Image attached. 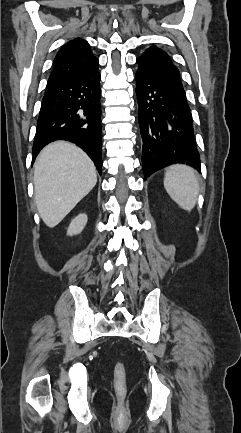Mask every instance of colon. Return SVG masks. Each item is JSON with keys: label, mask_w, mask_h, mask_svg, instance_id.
<instances>
[{"label": "colon", "mask_w": 241, "mask_h": 433, "mask_svg": "<svg viewBox=\"0 0 241 433\" xmlns=\"http://www.w3.org/2000/svg\"><path fill=\"white\" fill-rule=\"evenodd\" d=\"M114 387L118 394L126 391V370L123 362L118 361L114 368Z\"/></svg>", "instance_id": "5ec220e1"}]
</instances>
